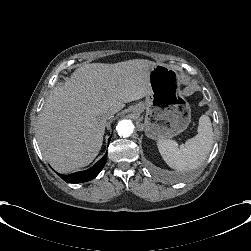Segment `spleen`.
<instances>
[{"label": "spleen", "mask_w": 251, "mask_h": 251, "mask_svg": "<svg viewBox=\"0 0 251 251\" xmlns=\"http://www.w3.org/2000/svg\"><path fill=\"white\" fill-rule=\"evenodd\" d=\"M198 133L178 147L174 140H158L159 152L169 167L188 171L197 169L209 154L213 145V128L210 117L199 118Z\"/></svg>", "instance_id": "spleen-1"}]
</instances>
